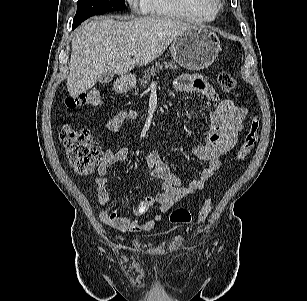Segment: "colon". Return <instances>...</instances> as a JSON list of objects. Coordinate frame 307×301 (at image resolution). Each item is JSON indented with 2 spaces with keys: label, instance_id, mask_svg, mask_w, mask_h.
<instances>
[{
  "label": "colon",
  "instance_id": "colon-1",
  "mask_svg": "<svg viewBox=\"0 0 307 301\" xmlns=\"http://www.w3.org/2000/svg\"><path fill=\"white\" fill-rule=\"evenodd\" d=\"M217 79L219 85L225 91H232L236 87L235 78L228 72H220ZM101 102L100 91L97 88H91L81 93L78 97L67 100L66 105L68 107L87 106L95 108ZM259 128V117L253 116L249 120L242 143L236 152L235 158L237 161L244 160L251 153L258 139ZM60 138L64 145L69 165L75 174L79 176L90 175L96 165L102 161L103 155L89 129L64 125L60 131ZM212 207L213 199H206L198 212L200 224L207 220ZM169 219L174 225L190 224L192 215L187 209H177L170 214Z\"/></svg>",
  "mask_w": 307,
  "mask_h": 301
}]
</instances>
